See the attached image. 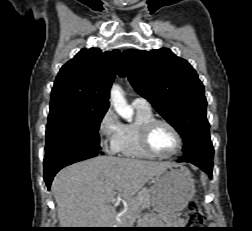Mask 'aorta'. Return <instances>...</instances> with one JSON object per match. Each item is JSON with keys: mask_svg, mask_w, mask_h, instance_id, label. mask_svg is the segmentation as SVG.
<instances>
[{"mask_svg": "<svg viewBox=\"0 0 252 231\" xmlns=\"http://www.w3.org/2000/svg\"><path fill=\"white\" fill-rule=\"evenodd\" d=\"M111 104L115 111L127 121H131L133 117V110L128 106L126 99L124 98L123 92L118 85H113L111 89Z\"/></svg>", "mask_w": 252, "mask_h": 231, "instance_id": "1", "label": "aorta"}]
</instances>
